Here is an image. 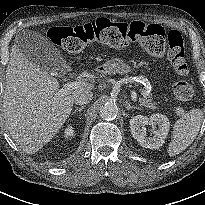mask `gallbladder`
Here are the masks:
<instances>
[{"label":"gallbladder","mask_w":205,"mask_h":205,"mask_svg":"<svg viewBox=\"0 0 205 205\" xmlns=\"http://www.w3.org/2000/svg\"><path fill=\"white\" fill-rule=\"evenodd\" d=\"M16 44L28 60L41 70L54 72L64 69L65 62L60 52L41 34L31 30H22L16 36Z\"/></svg>","instance_id":"obj_1"}]
</instances>
